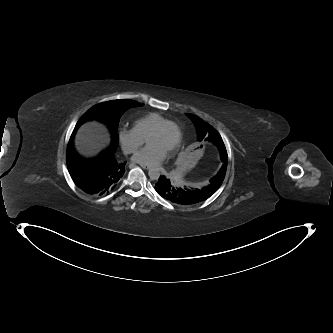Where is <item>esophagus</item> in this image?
<instances>
[{
  "instance_id": "1",
  "label": "esophagus",
  "mask_w": 333,
  "mask_h": 333,
  "mask_svg": "<svg viewBox=\"0 0 333 333\" xmlns=\"http://www.w3.org/2000/svg\"><path fill=\"white\" fill-rule=\"evenodd\" d=\"M140 166L146 170L150 169L151 166L150 165H147V164H140Z\"/></svg>"
}]
</instances>
